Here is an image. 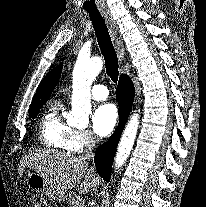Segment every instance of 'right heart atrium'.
Instances as JSON below:
<instances>
[{
	"mask_svg": "<svg viewBox=\"0 0 206 207\" xmlns=\"http://www.w3.org/2000/svg\"><path fill=\"white\" fill-rule=\"evenodd\" d=\"M95 144V138L88 130H73L71 134V148L75 152H82Z\"/></svg>",
	"mask_w": 206,
	"mask_h": 207,
	"instance_id": "right-heart-atrium-1",
	"label": "right heart atrium"
}]
</instances>
